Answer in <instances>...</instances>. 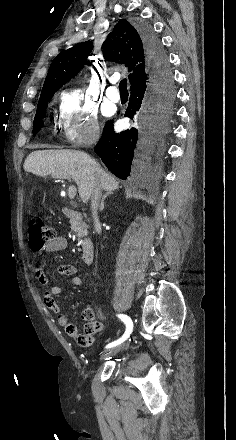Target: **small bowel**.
I'll list each match as a JSON object with an SVG mask.
<instances>
[{
  "label": "small bowel",
  "instance_id": "small-bowel-1",
  "mask_svg": "<svg viewBox=\"0 0 236 440\" xmlns=\"http://www.w3.org/2000/svg\"><path fill=\"white\" fill-rule=\"evenodd\" d=\"M68 240L65 236H56L48 242L42 249L37 250V255L43 253L59 252L66 249ZM58 273L62 276H69V285L77 287L82 284V278L77 275V269L70 264H64L58 267ZM34 274L37 280L46 287V292L43 297L45 307L50 310L57 317L58 324L65 328L69 337H75L77 342L82 346H89L92 344L94 334L102 327V323L94 321V310L91 306H86L82 312V317L85 321L82 322V332H78L75 325L68 321L66 315L62 313L61 307L54 300L53 296L61 293L62 288L58 285L50 283L49 277L42 267H35Z\"/></svg>",
  "mask_w": 236,
  "mask_h": 440
}]
</instances>
